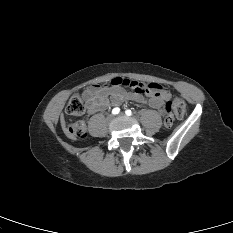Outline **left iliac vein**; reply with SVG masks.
Returning <instances> with one entry per match:
<instances>
[{
  "instance_id": "1",
  "label": "left iliac vein",
  "mask_w": 233,
  "mask_h": 233,
  "mask_svg": "<svg viewBox=\"0 0 233 233\" xmlns=\"http://www.w3.org/2000/svg\"><path fill=\"white\" fill-rule=\"evenodd\" d=\"M120 116H124V114H123V113H120Z\"/></svg>"
}]
</instances>
